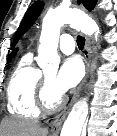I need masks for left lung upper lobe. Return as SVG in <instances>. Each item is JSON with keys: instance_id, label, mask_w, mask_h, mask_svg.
<instances>
[{"instance_id": "left-lung-upper-lobe-1", "label": "left lung upper lobe", "mask_w": 117, "mask_h": 136, "mask_svg": "<svg viewBox=\"0 0 117 136\" xmlns=\"http://www.w3.org/2000/svg\"><path fill=\"white\" fill-rule=\"evenodd\" d=\"M97 0H78V3H83L85 8L89 11L95 8ZM43 3L41 1L34 2L26 11L24 18L16 31L12 47L18 42L20 37L33 25L38 15L42 11Z\"/></svg>"}]
</instances>
